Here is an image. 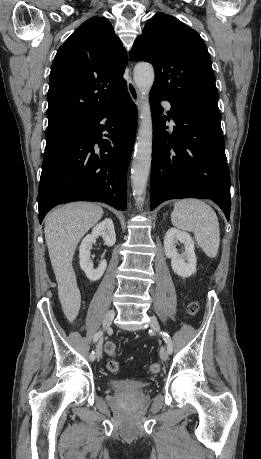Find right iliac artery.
<instances>
[{
    "mask_svg": "<svg viewBox=\"0 0 261 459\" xmlns=\"http://www.w3.org/2000/svg\"><path fill=\"white\" fill-rule=\"evenodd\" d=\"M101 336H102V331H98V332L94 335L93 342H94V343L97 342ZM89 358H90L91 361H93V360L95 359L94 351L91 352Z\"/></svg>",
    "mask_w": 261,
    "mask_h": 459,
    "instance_id": "1",
    "label": "right iliac artery"
}]
</instances>
